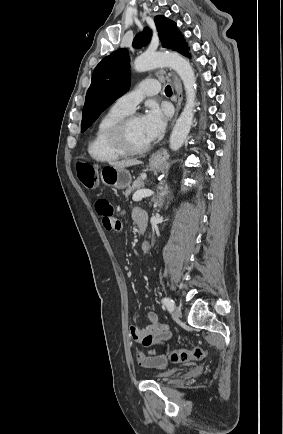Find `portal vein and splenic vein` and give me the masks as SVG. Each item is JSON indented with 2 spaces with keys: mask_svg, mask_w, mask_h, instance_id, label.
Segmentation results:
<instances>
[{
  "mask_svg": "<svg viewBox=\"0 0 283 434\" xmlns=\"http://www.w3.org/2000/svg\"><path fill=\"white\" fill-rule=\"evenodd\" d=\"M153 194L151 190L143 189L136 191L132 197L133 201L138 202L141 201L145 197H149Z\"/></svg>",
  "mask_w": 283,
  "mask_h": 434,
  "instance_id": "18ae733b",
  "label": "portal vein and splenic vein"
}]
</instances>
